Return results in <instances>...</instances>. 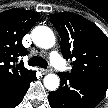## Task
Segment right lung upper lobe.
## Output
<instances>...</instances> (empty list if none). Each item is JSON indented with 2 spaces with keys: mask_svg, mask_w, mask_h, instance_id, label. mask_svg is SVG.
I'll return each instance as SVG.
<instances>
[{
  "mask_svg": "<svg viewBox=\"0 0 108 108\" xmlns=\"http://www.w3.org/2000/svg\"><path fill=\"white\" fill-rule=\"evenodd\" d=\"M39 17L37 12L22 9L0 13V87L15 84L31 74L23 61L17 65L13 63L27 54L22 38Z\"/></svg>",
  "mask_w": 108,
  "mask_h": 108,
  "instance_id": "obj_1",
  "label": "right lung upper lobe"
}]
</instances>
